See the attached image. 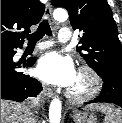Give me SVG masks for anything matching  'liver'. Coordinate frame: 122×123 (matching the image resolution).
<instances>
[{
    "instance_id": "1",
    "label": "liver",
    "mask_w": 122,
    "mask_h": 123,
    "mask_svg": "<svg viewBox=\"0 0 122 123\" xmlns=\"http://www.w3.org/2000/svg\"><path fill=\"white\" fill-rule=\"evenodd\" d=\"M33 117L24 104L1 100V123H33Z\"/></svg>"
}]
</instances>
